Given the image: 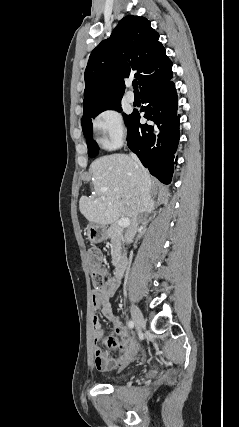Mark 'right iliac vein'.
<instances>
[{
    "label": "right iliac vein",
    "mask_w": 239,
    "mask_h": 427,
    "mask_svg": "<svg viewBox=\"0 0 239 427\" xmlns=\"http://www.w3.org/2000/svg\"><path fill=\"white\" fill-rule=\"evenodd\" d=\"M131 314L136 328L141 329L144 326L145 322L142 312L136 305L131 306Z\"/></svg>",
    "instance_id": "63e3f726"
}]
</instances>
